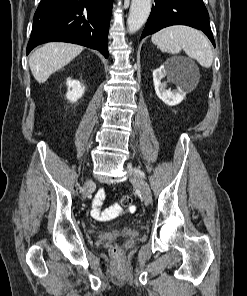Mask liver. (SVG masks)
Instances as JSON below:
<instances>
[{
  "mask_svg": "<svg viewBox=\"0 0 247 296\" xmlns=\"http://www.w3.org/2000/svg\"><path fill=\"white\" fill-rule=\"evenodd\" d=\"M83 51V47L71 43L51 42L36 49L29 59L32 75L38 83H44Z\"/></svg>",
  "mask_w": 247,
  "mask_h": 296,
  "instance_id": "1",
  "label": "liver"
}]
</instances>
